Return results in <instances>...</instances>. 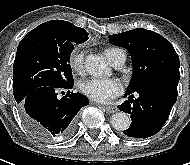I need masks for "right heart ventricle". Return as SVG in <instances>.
Segmentation results:
<instances>
[{
    "instance_id": "1",
    "label": "right heart ventricle",
    "mask_w": 190,
    "mask_h": 165,
    "mask_svg": "<svg viewBox=\"0 0 190 165\" xmlns=\"http://www.w3.org/2000/svg\"><path fill=\"white\" fill-rule=\"evenodd\" d=\"M122 52L121 49L115 48V47H109L104 50V54L107 57V59L114 64L117 60L119 54Z\"/></svg>"
}]
</instances>
